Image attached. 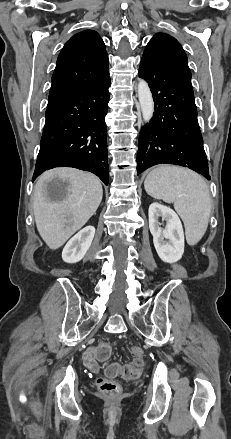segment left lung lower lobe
<instances>
[{"label":"left lung lower lobe","mask_w":231,"mask_h":439,"mask_svg":"<svg viewBox=\"0 0 231 439\" xmlns=\"http://www.w3.org/2000/svg\"><path fill=\"white\" fill-rule=\"evenodd\" d=\"M139 76L149 84L156 111L140 132L138 174L166 163L188 167L210 180L191 81L149 49L142 56Z\"/></svg>","instance_id":"left-lung-lower-lobe-1"}]
</instances>
